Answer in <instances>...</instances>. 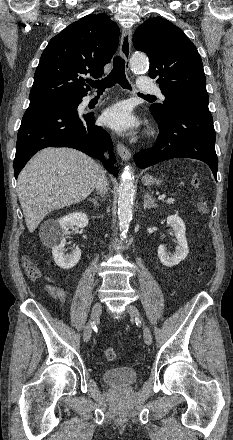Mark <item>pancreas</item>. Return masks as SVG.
Returning <instances> with one entry per match:
<instances>
[{
	"label": "pancreas",
	"instance_id": "1",
	"mask_svg": "<svg viewBox=\"0 0 233 440\" xmlns=\"http://www.w3.org/2000/svg\"><path fill=\"white\" fill-rule=\"evenodd\" d=\"M166 202H167L168 204H172V203L174 202V200H173L172 198H170V199H168Z\"/></svg>",
	"mask_w": 233,
	"mask_h": 440
}]
</instances>
